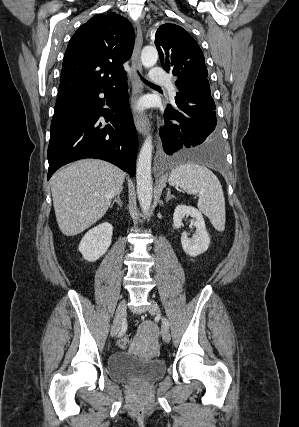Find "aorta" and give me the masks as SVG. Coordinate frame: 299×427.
<instances>
[{"mask_svg": "<svg viewBox=\"0 0 299 427\" xmlns=\"http://www.w3.org/2000/svg\"><path fill=\"white\" fill-rule=\"evenodd\" d=\"M157 60L158 52L155 47L146 46L143 48L141 62L145 68L153 67ZM152 149V137L148 135L141 147L136 165L137 195L142 212L145 215H148L153 197L151 178Z\"/></svg>", "mask_w": 299, "mask_h": 427, "instance_id": "762f6f07", "label": "aorta"}]
</instances>
